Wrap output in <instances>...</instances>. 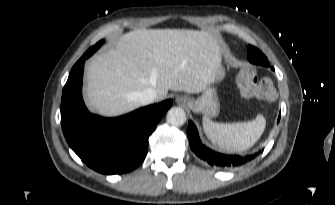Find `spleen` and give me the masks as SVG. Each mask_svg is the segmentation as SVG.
<instances>
[{"mask_svg": "<svg viewBox=\"0 0 335 205\" xmlns=\"http://www.w3.org/2000/svg\"><path fill=\"white\" fill-rule=\"evenodd\" d=\"M203 129L207 138L221 150L242 153L251 148L261 137L266 120L258 115L253 121L238 123H216L203 117Z\"/></svg>", "mask_w": 335, "mask_h": 205, "instance_id": "3e777b00", "label": "spleen"}]
</instances>
